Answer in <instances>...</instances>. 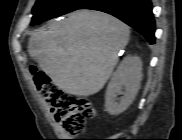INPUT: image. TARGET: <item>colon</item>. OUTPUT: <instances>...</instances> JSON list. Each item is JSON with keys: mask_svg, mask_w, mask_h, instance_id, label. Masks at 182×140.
Listing matches in <instances>:
<instances>
[{"mask_svg": "<svg viewBox=\"0 0 182 140\" xmlns=\"http://www.w3.org/2000/svg\"><path fill=\"white\" fill-rule=\"evenodd\" d=\"M35 85L54 111L55 118L69 134L78 135L85 131L86 121L95 116L96 110L87 98H74L58 90L43 73L32 68Z\"/></svg>", "mask_w": 182, "mask_h": 140, "instance_id": "obj_1", "label": "colon"}]
</instances>
